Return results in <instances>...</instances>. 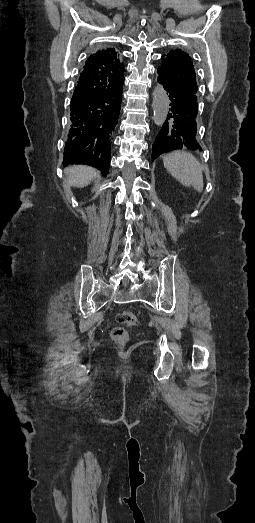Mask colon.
<instances>
[{
    "instance_id": "colon-1",
    "label": "colon",
    "mask_w": 255,
    "mask_h": 523,
    "mask_svg": "<svg viewBox=\"0 0 255 523\" xmlns=\"http://www.w3.org/2000/svg\"><path fill=\"white\" fill-rule=\"evenodd\" d=\"M116 322L120 326L113 328L112 339L118 345H125L129 341V333L125 327L135 326L138 323V318L133 312L124 310L116 316Z\"/></svg>"
}]
</instances>
